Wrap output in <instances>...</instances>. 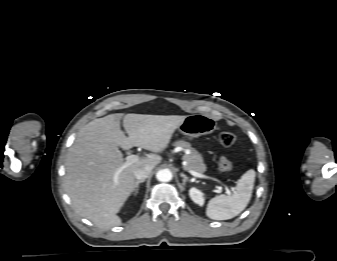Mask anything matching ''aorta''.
I'll list each match as a JSON object with an SVG mask.
<instances>
[{
	"instance_id": "1",
	"label": "aorta",
	"mask_w": 337,
	"mask_h": 261,
	"mask_svg": "<svg viewBox=\"0 0 337 261\" xmlns=\"http://www.w3.org/2000/svg\"><path fill=\"white\" fill-rule=\"evenodd\" d=\"M173 175L170 170L162 169L156 173L157 180L161 182H169L172 179Z\"/></svg>"
}]
</instances>
